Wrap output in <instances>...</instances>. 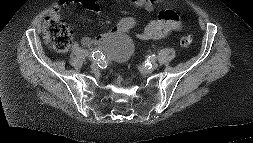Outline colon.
Segmentation results:
<instances>
[{
	"mask_svg": "<svg viewBox=\"0 0 253 143\" xmlns=\"http://www.w3.org/2000/svg\"><path fill=\"white\" fill-rule=\"evenodd\" d=\"M44 38L46 43L57 52H65L72 43V32L64 22L50 17L45 23ZM191 42L190 36H184L180 40V45L187 47Z\"/></svg>",
	"mask_w": 253,
	"mask_h": 143,
	"instance_id": "5ec220e1",
	"label": "colon"
}]
</instances>
